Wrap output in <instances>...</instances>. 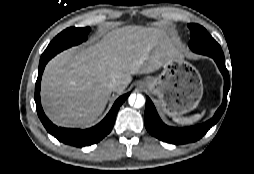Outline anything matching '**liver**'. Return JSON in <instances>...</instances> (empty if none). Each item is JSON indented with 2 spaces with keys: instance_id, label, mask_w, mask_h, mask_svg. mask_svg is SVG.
<instances>
[{
  "instance_id": "1",
  "label": "liver",
  "mask_w": 254,
  "mask_h": 174,
  "mask_svg": "<svg viewBox=\"0 0 254 174\" xmlns=\"http://www.w3.org/2000/svg\"><path fill=\"white\" fill-rule=\"evenodd\" d=\"M174 54V42L164 30L136 25L115 29L87 48L63 51L44 70V110L58 126L88 125L102 114L112 91L127 88L131 75L154 72ZM113 78L119 81L115 90L109 85Z\"/></svg>"
}]
</instances>
